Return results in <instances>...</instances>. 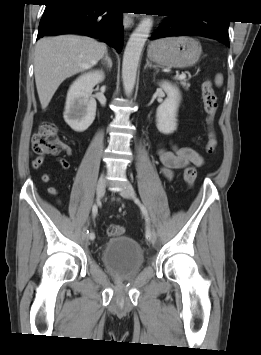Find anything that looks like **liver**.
Returning a JSON list of instances; mask_svg holds the SVG:
<instances>
[{
	"label": "liver",
	"mask_w": 261,
	"mask_h": 355,
	"mask_svg": "<svg viewBox=\"0 0 261 355\" xmlns=\"http://www.w3.org/2000/svg\"><path fill=\"white\" fill-rule=\"evenodd\" d=\"M106 51L104 43L84 36L40 39L35 47L34 74L42 109L65 79L96 65Z\"/></svg>",
	"instance_id": "1"
}]
</instances>
